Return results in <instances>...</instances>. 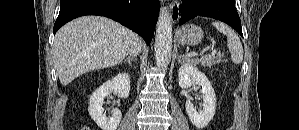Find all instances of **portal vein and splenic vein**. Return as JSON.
Listing matches in <instances>:
<instances>
[{
    "label": "portal vein and splenic vein",
    "mask_w": 299,
    "mask_h": 130,
    "mask_svg": "<svg viewBox=\"0 0 299 130\" xmlns=\"http://www.w3.org/2000/svg\"><path fill=\"white\" fill-rule=\"evenodd\" d=\"M216 54V50L215 49H212V53L211 55H215ZM198 55V53H195V52H191V53H187L186 56L188 57H191V56H196Z\"/></svg>",
    "instance_id": "portal-vein-and-splenic-vein-1"
}]
</instances>
